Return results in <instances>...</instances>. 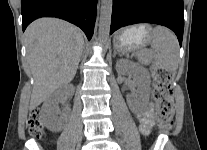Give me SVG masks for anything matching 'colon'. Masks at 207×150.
<instances>
[{"instance_id": "obj_1", "label": "colon", "mask_w": 207, "mask_h": 150, "mask_svg": "<svg viewBox=\"0 0 207 150\" xmlns=\"http://www.w3.org/2000/svg\"><path fill=\"white\" fill-rule=\"evenodd\" d=\"M153 72L157 125L161 128L170 129L173 125V72L159 63L154 64ZM27 128L34 137L39 138L43 135V124L39 111L34 110L30 114Z\"/></svg>"}]
</instances>
